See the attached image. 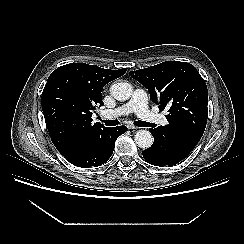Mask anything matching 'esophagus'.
Instances as JSON below:
<instances>
[{"label":"esophagus","mask_w":244,"mask_h":244,"mask_svg":"<svg viewBox=\"0 0 244 244\" xmlns=\"http://www.w3.org/2000/svg\"><path fill=\"white\" fill-rule=\"evenodd\" d=\"M127 128L130 129V130L138 129V127L135 126V125H133V124H128V125H127Z\"/></svg>","instance_id":"1"}]
</instances>
